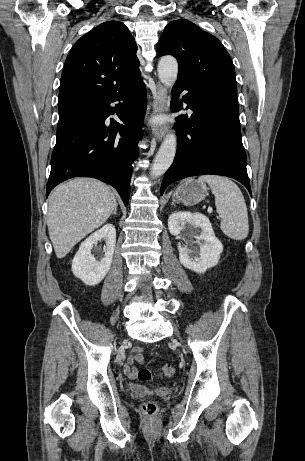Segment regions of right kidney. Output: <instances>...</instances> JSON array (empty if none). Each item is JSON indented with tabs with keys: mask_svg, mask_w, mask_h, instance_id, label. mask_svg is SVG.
<instances>
[{
	"mask_svg": "<svg viewBox=\"0 0 305 461\" xmlns=\"http://www.w3.org/2000/svg\"><path fill=\"white\" fill-rule=\"evenodd\" d=\"M101 239L106 240V246H104L105 256L100 261H97L91 250ZM115 244L116 230L113 224H106L91 234L81 243L73 258V274L86 285L95 286L99 284L111 267Z\"/></svg>",
	"mask_w": 305,
	"mask_h": 461,
	"instance_id": "right-kidney-1",
	"label": "right kidney"
}]
</instances>
